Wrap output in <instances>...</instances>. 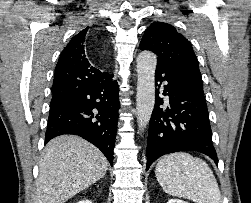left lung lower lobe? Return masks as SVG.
<instances>
[{
  "instance_id": "left-lung-lower-lobe-1",
  "label": "left lung lower lobe",
  "mask_w": 251,
  "mask_h": 203,
  "mask_svg": "<svg viewBox=\"0 0 251 203\" xmlns=\"http://www.w3.org/2000/svg\"><path fill=\"white\" fill-rule=\"evenodd\" d=\"M155 82L169 96L170 106L161 108L159 89L151 115L146 170L160 156L179 151H198L218 164L204 93L175 70L157 65ZM159 83V84H158Z\"/></svg>"
}]
</instances>
